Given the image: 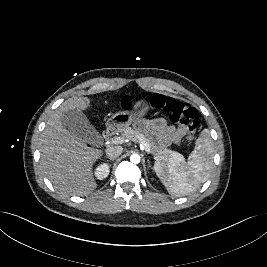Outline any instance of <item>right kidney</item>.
I'll return each mask as SVG.
<instances>
[{"mask_svg":"<svg viewBox=\"0 0 267 267\" xmlns=\"http://www.w3.org/2000/svg\"><path fill=\"white\" fill-rule=\"evenodd\" d=\"M109 172H110L109 166L106 163H104L96 168L95 176L97 177V179L103 180L108 177Z\"/></svg>","mask_w":267,"mask_h":267,"instance_id":"ca27d5eb","label":"right kidney"}]
</instances>
